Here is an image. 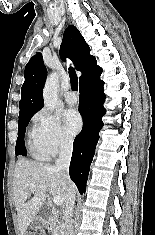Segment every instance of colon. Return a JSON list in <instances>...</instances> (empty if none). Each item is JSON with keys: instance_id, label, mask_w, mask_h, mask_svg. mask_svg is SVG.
Returning <instances> with one entry per match:
<instances>
[{"instance_id": "5ec220e1", "label": "colon", "mask_w": 155, "mask_h": 235, "mask_svg": "<svg viewBox=\"0 0 155 235\" xmlns=\"http://www.w3.org/2000/svg\"><path fill=\"white\" fill-rule=\"evenodd\" d=\"M26 235H43V234L36 233V232H29V233H27Z\"/></svg>"}]
</instances>
